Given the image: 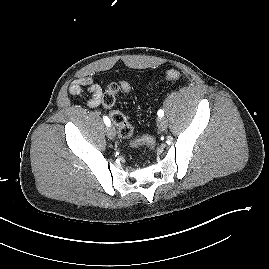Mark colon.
<instances>
[{
	"label": "colon",
	"instance_id": "1",
	"mask_svg": "<svg viewBox=\"0 0 269 269\" xmlns=\"http://www.w3.org/2000/svg\"><path fill=\"white\" fill-rule=\"evenodd\" d=\"M180 77L181 73L175 69H170L165 73V79L169 81H176L180 79ZM126 89H128V84L125 82H113L109 84L102 96V105L107 109L112 108L116 103L118 94ZM110 118L113 124L117 127L120 137L126 140H131L134 133V128L129 120L125 117V115L119 111H113L110 113ZM130 143L133 146H152L154 144V139L151 136H144L135 140H131Z\"/></svg>",
	"mask_w": 269,
	"mask_h": 269
}]
</instances>
